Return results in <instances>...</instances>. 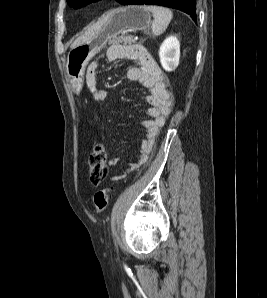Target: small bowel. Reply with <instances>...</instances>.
<instances>
[{
    "label": "small bowel",
    "instance_id": "obj_1",
    "mask_svg": "<svg viewBox=\"0 0 267 298\" xmlns=\"http://www.w3.org/2000/svg\"><path fill=\"white\" fill-rule=\"evenodd\" d=\"M106 57L109 62L119 60L137 61L139 66L130 68L127 71V78L130 81L139 83L150 91V94L146 97L149 104L148 118L142 123L145 130V138L140 145L139 158L136 163H130L121 175L116 176L117 179H122L128 171L134 169L137 165L147 162L158 131L164 125L166 117L170 114L173 99L167 89L168 80L166 76L143 46L138 44L112 45L108 48ZM97 69V62L90 63L86 71L85 81L93 99L100 102L107 98L108 92L99 87ZM118 162L119 159L113 158L109 161V165L115 166Z\"/></svg>",
    "mask_w": 267,
    "mask_h": 298
}]
</instances>
